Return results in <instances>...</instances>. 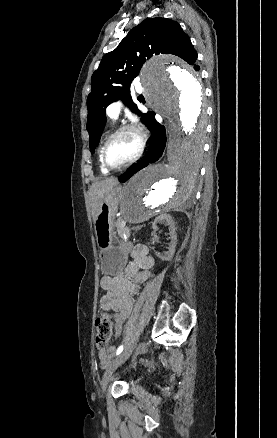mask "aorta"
Returning <instances> with one entry per match:
<instances>
[{
    "label": "aorta",
    "instance_id": "aorta-1",
    "mask_svg": "<svg viewBox=\"0 0 277 438\" xmlns=\"http://www.w3.org/2000/svg\"><path fill=\"white\" fill-rule=\"evenodd\" d=\"M141 82L149 104L168 122L167 163L138 172L128 183L121 212L133 224L183 205L191 196L202 157L205 117L198 74L178 59L148 60Z\"/></svg>",
    "mask_w": 277,
    "mask_h": 438
}]
</instances>
